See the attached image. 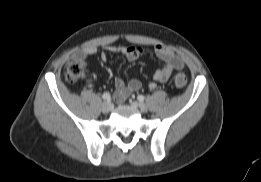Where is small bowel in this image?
<instances>
[{
    "label": "small bowel",
    "instance_id": "c3829d8e",
    "mask_svg": "<svg viewBox=\"0 0 261 182\" xmlns=\"http://www.w3.org/2000/svg\"><path fill=\"white\" fill-rule=\"evenodd\" d=\"M99 48L94 45L86 46L80 49L74 56L73 59H78L83 63L87 57L98 53ZM116 53L124 55L129 61H135L139 59L144 49L135 46H105L100 54V58L103 62L107 60L106 53ZM156 55L163 61V66L156 70L153 76V81L149 83V88L154 89L156 82H166L175 70L182 69L184 66L183 59L177 55L172 49L163 46H155ZM114 85L116 87L115 99L117 101L125 100L128 95L141 88L142 84L138 79H131L128 83H125L123 78L116 76L114 79Z\"/></svg>",
    "mask_w": 261,
    "mask_h": 182
}]
</instances>
